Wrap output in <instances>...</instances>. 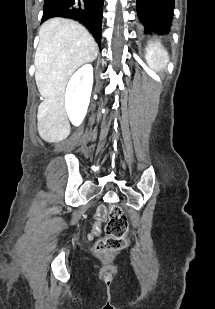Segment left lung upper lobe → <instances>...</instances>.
<instances>
[{"instance_id": "1", "label": "left lung upper lobe", "mask_w": 215, "mask_h": 309, "mask_svg": "<svg viewBox=\"0 0 215 309\" xmlns=\"http://www.w3.org/2000/svg\"><path fill=\"white\" fill-rule=\"evenodd\" d=\"M174 0H137V14L143 34H167L171 31Z\"/></svg>"}]
</instances>
